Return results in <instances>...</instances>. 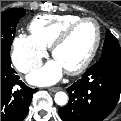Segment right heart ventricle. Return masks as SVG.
Returning <instances> with one entry per match:
<instances>
[{
	"instance_id": "e07e8e85",
	"label": "right heart ventricle",
	"mask_w": 121,
	"mask_h": 121,
	"mask_svg": "<svg viewBox=\"0 0 121 121\" xmlns=\"http://www.w3.org/2000/svg\"><path fill=\"white\" fill-rule=\"evenodd\" d=\"M80 18L73 14L39 15L29 24V30L39 43L48 48L68 25Z\"/></svg>"
}]
</instances>
